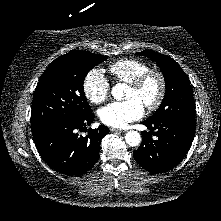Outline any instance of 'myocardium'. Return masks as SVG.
Returning <instances> with one entry per match:
<instances>
[{"label": "myocardium", "mask_w": 221, "mask_h": 221, "mask_svg": "<svg viewBox=\"0 0 221 221\" xmlns=\"http://www.w3.org/2000/svg\"><path fill=\"white\" fill-rule=\"evenodd\" d=\"M152 77L158 80L159 89H158V94L156 98L154 99V101L145 105V108L148 111L156 110L162 104L164 100V97L166 94V88H167L166 78L164 74L160 70H157V69H148L145 72L141 73L139 76H137L133 81L128 83L129 87L138 91Z\"/></svg>", "instance_id": "1"}]
</instances>
